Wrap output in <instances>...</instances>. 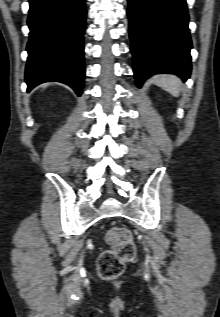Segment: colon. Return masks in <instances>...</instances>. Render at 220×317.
<instances>
[{
    "label": "colon",
    "instance_id": "1",
    "mask_svg": "<svg viewBox=\"0 0 220 317\" xmlns=\"http://www.w3.org/2000/svg\"><path fill=\"white\" fill-rule=\"evenodd\" d=\"M106 241L112 248L99 256L98 272L104 279H114L123 273L126 263L134 259L136 246L130 230L119 226L108 230Z\"/></svg>",
    "mask_w": 220,
    "mask_h": 317
}]
</instances>
